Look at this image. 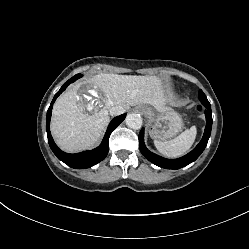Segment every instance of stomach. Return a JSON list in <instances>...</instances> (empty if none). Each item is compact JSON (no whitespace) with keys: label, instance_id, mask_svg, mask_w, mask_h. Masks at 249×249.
<instances>
[{"label":"stomach","instance_id":"0dacf381","mask_svg":"<svg viewBox=\"0 0 249 249\" xmlns=\"http://www.w3.org/2000/svg\"><path fill=\"white\" fill-rule=\"evenodd\" d=\"M146 115L154 117V124L149 131L150 136L158 140H166L174 137L183 128L181 116L172 110L156 114L150 108H146Z\"/></svg>","mask_w":249,"mask_h":249}]
</instances>
